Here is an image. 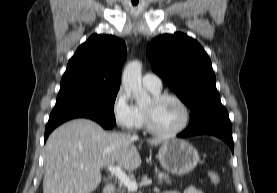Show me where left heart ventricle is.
I'll use <instances>...</instances> for the list:
<instances>
[{
    "label": "left heart ventricle",
    "mask_w": 277,
    "mask_h": 193,
    "mask_svg": "<svg viewBox=\"0 0 277 193\" xmlns=\"http://www.w3.org/2000/svg\"><path fill=\"white\" fill-rule=\"evenodd\" d=\"M144 108L151 110L156 127L162 131L175 130L183 123L184 111L175 100L166 99L158 104L150 100Z\"/></svg>",
    "instance_id": "b2bd125f"
}]
</instances>
